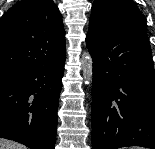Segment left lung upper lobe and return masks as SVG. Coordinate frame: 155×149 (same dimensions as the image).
I'll return each mask as SVG.
<instances>
[{
    "mask_svg": "<svg viewBox=\"0 0 155 149\" xmlns=\"http://www.w3.org/2000/svg\"><path fill=\"white\" fill-rule=\"evenodd\" d=\"M136 24L146 27V18L133 0L94 1L89 31L105 33Z\"/></svg>",
    "mask_w": 155,
    "mask_h": 149,
    "instance_id": "5c2ea615",
    "label": "left lung upper lobe"
}]
</instances>
